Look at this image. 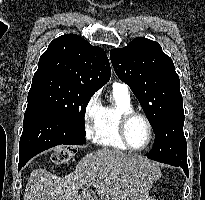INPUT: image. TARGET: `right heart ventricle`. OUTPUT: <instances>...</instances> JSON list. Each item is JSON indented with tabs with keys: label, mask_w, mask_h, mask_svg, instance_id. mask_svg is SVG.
<instances>
[{
	"label": "right heart ventricle",
	"mask_w": 205,
	"mask_h": 200,
	"mask_svg": "<svg viewBox=\"0 0 205 200\" xmlns=\"http://www.w3.org/2000/svg\"><path fill=\"white\" fill-rule=\"evenodd\" d=\"M133 105L129 95L113 89L110 103L102 106L99 118L97 133L94 138L97 144L118 150L128 148L122 142L118 132V122L120 116L127 111H131Z\"/></svg>",
	"instance_id": "right-heart-ventricle-1"
}]
</instances>
